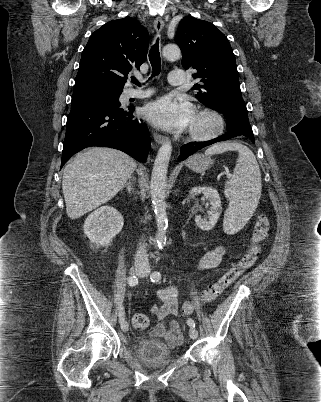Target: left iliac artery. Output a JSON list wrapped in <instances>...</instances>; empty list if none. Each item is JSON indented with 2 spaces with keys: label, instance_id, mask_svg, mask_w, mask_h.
Segmentation results:
<instances>
[{
  "label": "left iliac artery",
  "instance_id": "1",
  "mask_svg": "<svg viewBox=\"0 0 321 402\" xmlns=\"http://www.w3.org/2000/svg\"><path fill=\"white\" fill-rule=\"evenodd\" d=\"M160 279H161V274H160L159 272H153V273L151 274V281H152V282H158ZM187 324H188L190 327H195V322H194V320H192L191 318H189V319L187 320Z\"/></svg>",
  "mask_w": 321,
  "mask_h": 402
}]
</instances>
